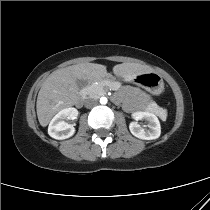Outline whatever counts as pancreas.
<instances>
[{
  "instance_id": "1",
  "label": "pancreas",
  "mask_w": 210,
  "mask_h": 210,
  "mask_svg": "<svg viewBox=\"0 0 210 210\" xmlns=\"http://www.w3.org/2000/svg\"><path fill=\"white\" fill-rule=\"evenodd\" d=\"M107 85L115 90L120 88V84L118 82L108 81ZM105 88H106L105 83L92 84L88 88V96L98 98L105 94L106 92ZM147 109L149 111H158L159 106L155 103H151L150 105H148Z\"/></svg>"
}]
</instances>
